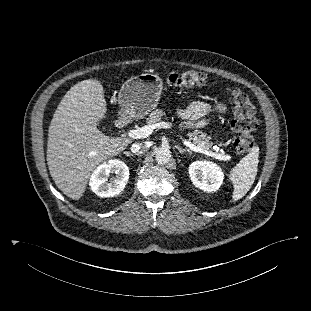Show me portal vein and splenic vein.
<instances>
[{
  "label": "portal vein and splenic vein",
  "instance_id": "portal-vein-and-splenic-vein-1",
  "mask_svg": "<svg viewBox=\"0 0 311 311\" xmlns=\"http://www.w3.org/2000/svg\"><path fill=\"white\" fill-rule=\"evenodd\" d=\"M156 128H166V129L171 128V124L167 123V122H159V123H155V124L146 125L143 127H139L137 129L129 130L128 136L131 138H134V139L146 138V137H149L152 134L153 130ZM181 139H182L185 146H187L188 148H190L191 150H193L195 152L203 153L207 156H211V157H214V158L219 159V160H230V158H231L228 155L221 154V153H214L208 149L201 148V147L191 143L187 139H184L183 137H181Z\"/></svg>",
  "mask_w": 311,
  "mask_h": 311
}]
</instances>
